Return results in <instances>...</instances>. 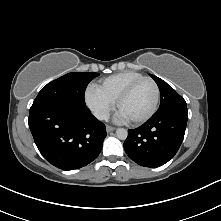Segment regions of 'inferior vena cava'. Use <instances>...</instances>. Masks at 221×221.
<instances>
[{"instance_id": "602c4592", "label": "inferior vena cava", "mask_w": 221, "mask_h": 221, "mask_svg": "<svg viewBox=\"0 0 221 221\" xmlns=\"http://www.w3.org/2000/svg\"><path fill=\"white\" fill-rule=\"evenodd\" d=\"M94 116L99 120H108L109 119V112L103 109H97L94 111Z\"/></svg>"}]
</instances>
